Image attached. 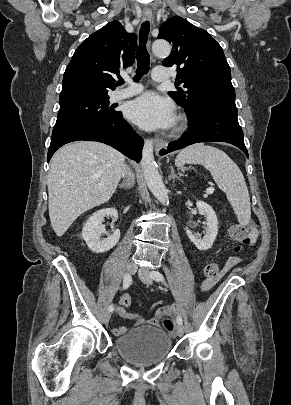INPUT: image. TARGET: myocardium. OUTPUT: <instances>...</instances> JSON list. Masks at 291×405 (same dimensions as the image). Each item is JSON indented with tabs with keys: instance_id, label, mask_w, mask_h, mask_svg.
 <instances>
[{
	"instance_id": "1",
	"label": "myocardium",
	"mask_w": 291,
	"mask_h": 405,
	"mask_svg": "<svg viewBox=\"0 0 291 405\" xmlns=\"http://www.w3.org/2000/svg\"><path fill=\"white\" fill-rule=\"evenodd\" d=\"M187 127V120L186 117L183 115L178 116L177 118V124L174 129L175 134H181L186 130Z\"/></svg>"
}]
</instances>
